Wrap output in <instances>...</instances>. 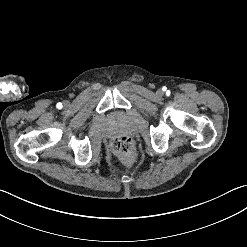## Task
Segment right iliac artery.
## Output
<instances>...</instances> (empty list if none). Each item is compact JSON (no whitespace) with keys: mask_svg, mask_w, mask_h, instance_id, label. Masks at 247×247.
I'll use <instances>...</instances> for the list:
<instances>
[{"mask_svg":"<svg viewBox=\"0 0 247 247\" xmlns=\"http://www.w3.org/2000/svg\"><path fill=\"white\" fill-rule=\"evenodd\" d=\"M56 106H57L58 109H61L62 108V103H57Z\"/></svg>","mask_w":247,"mask_h":247,"instance_id":"obj_1","label":"right iliac artery"}]
</instances>
